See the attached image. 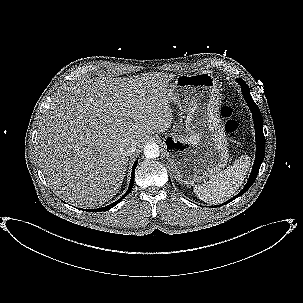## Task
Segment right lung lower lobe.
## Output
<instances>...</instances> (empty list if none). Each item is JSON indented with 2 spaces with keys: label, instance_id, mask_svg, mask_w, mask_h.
<instances>
[{
  "label": "right lung lower lobe",
  "instance_id": "obj_1",
  "mask_svg": "<svg viewBox=\"0 0 303 303\" xmlns=\"http://www.w3.org/2000/svg\"><path fill=\"white\" fill-rule=\"evenodd\" d=\"M137 163H138V160L135 161V163L133 165V168H132L131 181H130L129 188H128L127 192L120 199H118L116 202H114L113 204H111L109 206L98 208V209H91V210H88V211H90V212L106 211V210L114 207L115 205H117L124 197H126L130 193V191L132 190V188H133L134 173H135V168L137 166Z\"/></svg>",
  "mask_w": 303,
  "mask_h": 303
}]
</instances>
